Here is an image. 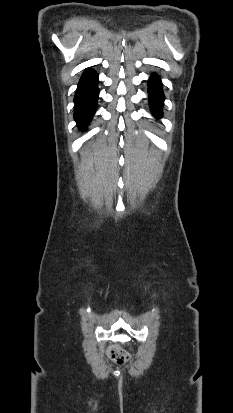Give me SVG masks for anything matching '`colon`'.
I'll use <instances>...</instances> for the list:
<instances>
[{
    "instance_id": "colon-1",
    "label": "colon",
    "mask_w": 233,
    "mask_h": 413,
    "mask_svg": "<svg viewBox=\"0 0 233 413\" xmlns=\"http://www.w3.org/2000/svg\"><path fill=\"white\" fill-rule=\"evenodd\" d=\"M109 353L118 363H123L128 358L127 352L119 348L113 347L110 349Z\"/></svg>"
}]
</instances>
